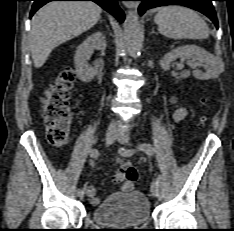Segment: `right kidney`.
Listing matches in <instances>:
<instances>
[{
  "instance_id": "obj_1",
  "label": "right kidney",
  "mask_w": 234,
  "mask_h": 231,
  "mask_svg": "<svg viewBox=\"0 0 234 231\" xmlns=\"http://www.w3.org/2000/svg\"><path fill=\"white\" fill-rule=\"evenodd\" d=\"M106 46L104 34L102 32H96L77 47L74 62L76 75L81 81L89 82L96 74L95 69L87 62L90 51L92 49L105 50Z\"/></svg>"
}]
</instances>
